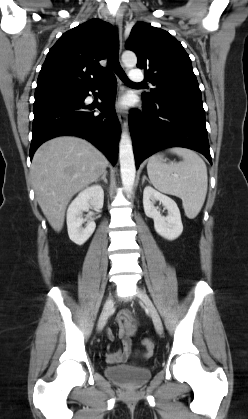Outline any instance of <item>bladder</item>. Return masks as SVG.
<instances>
[{"label":"bladder","instance_id":"obj_1","mask_svg":"<svg viewBox=\"0 0 248 419\" xmlns=\"http://www.w3.org/2000/svg\"><path fill=\"white\" fill-rule=\"evenodd\" d=\"M105 376L124 388L135 389L144 386L151 379V370L133 365L107 366Z\"/></svg>","mask_w":248,"mask_h":419}]
</instances>
